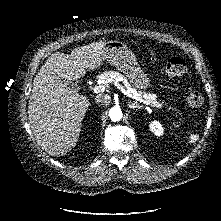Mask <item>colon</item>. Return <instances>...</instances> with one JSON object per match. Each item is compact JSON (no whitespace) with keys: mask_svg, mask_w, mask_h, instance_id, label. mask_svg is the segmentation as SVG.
Instances as JSON below:
<instances>
[{"mask_svg":"<svg viewBox=\"0 0 221 221\" xmlns=\"http://www.w3.org/2000/svg\"><path fill=\"white\" fill-rule=\"evenodd\" d=\"M164 73L169 77H181L186 73V64L179 57L169 59L164 67ZM203 96L198 91H193L187 96V104L191 107H199L203 104Z\"/></svg>","mask_w":221,"mask_h":221,"instance_id":"5ec220e1","label":"colon"}]
</instances>
